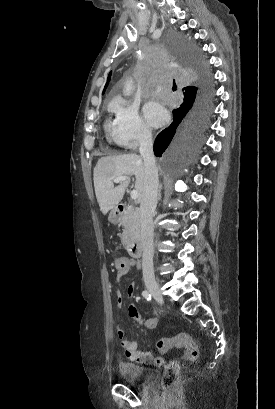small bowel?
I'll return each instance as SVG.
<instances>
[{"label":"small bowel","instance_id":"c3829d8e","mask_svg":"<svg viewBox=\"0 0 275 409\" xmlns=\"http://www.w3.org/2000/svg\"><path fill=\"white\" fill-rule=\"evenodd\" d=\"M125 267L126 270L125 272H127L130 268H139V264L134 262V261H130L125 259ZM122 274L123 273H116L115 274V279L117 281L122 279ZM135 283L131 282L128 286L127 289V295L129 297H133L135 294ZM115 304L117 307H122L123 303H124V297L120 292L116 293L115 296ZM128 314L133 317V322L134 323H138L140 326H142L143 328H149V329H154L156 328L157 324H158V319L156 317H151L148 319H143L142 321H140V317H139V313L137 308L134 305H129L128 306ZM120 324V323H119ZM118 340H119V344L122 348L123 351H128L126 354V357L128 360H136L137 362H140L142 364H148V365H154V366H160L163 364V358L162 357H154L152 354L150 353H141L139 352V339L138 338H132V337H125V331L124 330H119L118 331Z\"/></svg>","mask_w":275,"mask_h":409}]
</instances>
